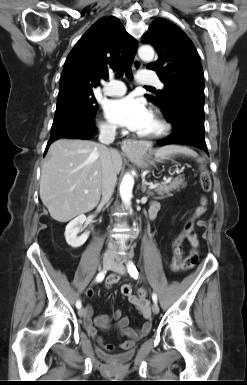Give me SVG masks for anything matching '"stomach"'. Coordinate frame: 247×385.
Listing matches in <instances>:
<instances>
[{
  "instance_id": "1",
  "label": "stomach",
  "mask_w": 247,
  "mask_h": 385,
  "mask_svg": "<svg viewBox=\"0 0 247 385\" xmlns=\"http://www.w3.org/2000/svg\"><path fill=\"white\" fill-rule=\"evenodd\" d=\"M130 160L141 168H147L153 162L149 160L144 151L133 152L129 155Z\"/></svg>"
}]
</instances>
